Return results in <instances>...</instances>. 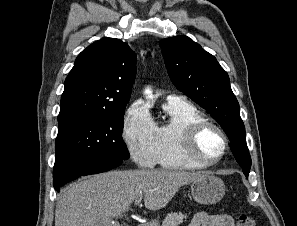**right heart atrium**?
Returning a JSON list of instances; mask_svg holds the SVG:
<instances>
[{"instance_id":"obj_1","label":"right heart atrium","mask_w":297,"mask_h":226,"mask_svg":"<svg viewBox=\"0 0 297 226\" xmlns=\"http://www.w3.org/2000/svg\"><path fill=\"white\" fill-rule=\"evenodd\" d=\"M122 137L139 167L150 168L158 162L157 125L142 102L136 101L127 109Z\"/></svg>"}]
</instances>
